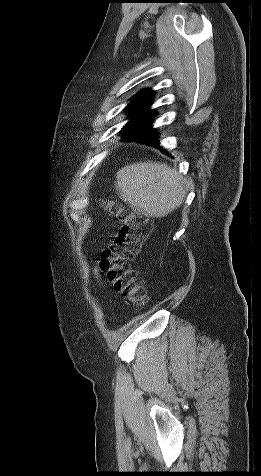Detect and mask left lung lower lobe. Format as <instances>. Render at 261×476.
Instances as JSON below:
<instances>
[{
  "label": "left lung lower lobe",
  "mask_w": 261,
  "mask_h": 476,
  "mask_svg": "<svg viewBox=\"0 0 261 476\" xmlns=\"http://www.w3.org/2000/svg\"><path fill=\"white\" fill-rule=\"evenodd\" d=\"M151 123V120L132 122L123 128L121 134L124 135L123 138L125 139L136 140L146 145H152L159 148L166 155L171 156L167 150L160 146L158 132L156 129H151Z\"/></svg>",
  "instance_id": "obj_1"
}]
</instances>
